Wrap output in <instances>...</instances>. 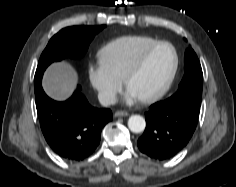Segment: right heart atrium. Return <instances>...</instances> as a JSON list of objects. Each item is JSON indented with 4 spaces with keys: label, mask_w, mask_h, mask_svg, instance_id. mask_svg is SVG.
I'll return each instance as SVG.
<instances>
[{
    "label": "right heart atrium",
    "mask_w": 236,
    "mask_h": 187,
    "mask_svg": "<svg viewBox=\"0 0 236 187\" xmlns=\"http://www.w3.org/2000/svg\"><path fill=\"white\" fill-rule=\"evenodd\" d=\"M87 74L100 100L104 104L114 103L122 87V80L118 79L100 64H90L87 69Z\"/></svg>",
    "instance_id": "d8ad5b80"
}]
</instances>
